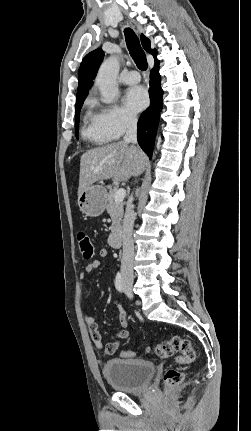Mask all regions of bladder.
<instances>
[{"instance_id": "obj_1", "label": "bladder", "mask_w": 251, "mask_h": 431, "mask_svg": "<svg viewBox=\"0 0 251 431\" xmlns=\"http://www.w3.org/2000/svg\"><path fill=\"white\" fill-rule=\"evenodd\" d=\"M155 371L153 362L142 359H111L105 362L102 368L110 387L124 393H137L144 390L152 380Z\"/></svg>"}]
</instances>
